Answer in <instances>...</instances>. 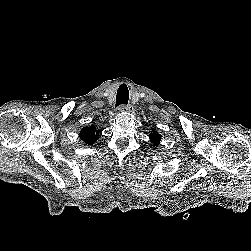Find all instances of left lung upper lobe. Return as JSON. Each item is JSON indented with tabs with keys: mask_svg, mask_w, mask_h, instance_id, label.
I'll return each mask as SVG.
<instances>
[{
	"mask_svg": "<svg viewBox=\"0 0 251 251\" xmlns=\"http://www.w3.org/2000/svg\"><path fill=\"white\" fill-rule=\"evenodd\" d=\"M161 135L158 134L156 131L152 132L149 136L150 141L153 143L154 146H158L159 141L161 140Z\"/></svg>",
	"mask_w": 251,
	"mask_h": 251,
	"instance_id": "5c2ea615",
	"label": "left lung upper lobe"
}]
</instances>
